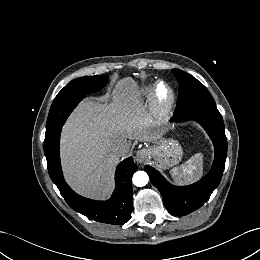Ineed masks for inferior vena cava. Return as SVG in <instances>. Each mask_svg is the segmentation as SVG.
I'll return each instance as SVG.
<instances>
[{
    "label": "inferior vena cava",
    "mask_w": 260,
    "mask_h": 260,
    "mask_svg": "<svg viewBox=\"0 0 260 260\" xmlns=\"http://www.w3.org/2000/svg\"><path fill=\"white\" fill-rule=\"evenodd\" d=\"M113 152L118 156H124L129 152V144L126 141L115 144L112 148Z\"/></svg>",
    "instance_id": "602c4592"
}]
</instances>
